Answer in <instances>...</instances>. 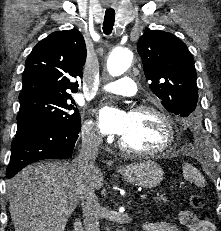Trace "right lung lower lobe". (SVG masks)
<instances>
[{
    "label": "right lung lower lobe",
    "instance_id": "right-lung-lower-lobe-1",
    "mask_svg": "<svg viewBox=\"0 0 221 231\" xmlns=\"http://www.w3.org/2000/svg\"><path fill=\"white\" fill-rule=\"evenodd\" d=\"M79 131L49 122L24 126L17 131L12 143L7 178L38 160L71 158Z\"/></svg>",
    "mask_w": 221,
    "mask_h": 231
}]
</instances>
